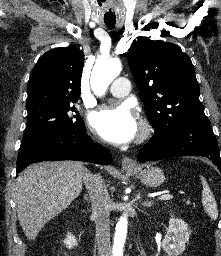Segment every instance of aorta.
Masks as SVG:
<instances>
[{
	"instance_id": "obj_1",
	"label": "aorta",
	"mask_w": 221,
	"mask_h": 256,
	"mask_svg": "<svg viewBox=\"0 0 221 256\" xmlns=\"http://www.w3.org/2000/svg\"><path fill=\"white\" fill-rule=\"evenodd\" d=\"M122 65L117 59L99 60L91 74V88L97 96L106 92L110 83L120 74ZM128 220L122 216L115 228L113 256H123V247L127 234Z\"/></svg>"
}]
</instances>
